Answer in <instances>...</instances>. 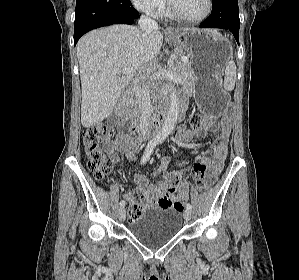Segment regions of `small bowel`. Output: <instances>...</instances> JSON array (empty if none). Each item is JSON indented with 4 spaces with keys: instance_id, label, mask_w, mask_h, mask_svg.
I'll use <instances>...</instances> for the list:
<instances>
[{
    "instance_id": "c3829d8e",
    "label": "small bowel",
    "mask_w": 299,
    "mask_h": 280,
    "mask_svg": "<svg viewBox=\"0 0 299 280\" xmlns=\"http://www.w3.org/2000/svg\"><path fill=\"white\" fill-rule=\"evenodd\" d=\"M219 134L211 147L210 155L204 157L208 166V178L213 182L223 168V164L228 152V141L230 137L231 124L224 121L219 124L217 121L207 120L199 127H188L181 123L178 128V144L183 148L189 147V142L195 137H204L208 132ZM107 154L116 159V151L122 152L130 158H135L133 142L131 138L120 133L116 140L106 146ZM167 160H162L161 168H164ZM136 192L140 196V202L131 193H125L124 198L130 205L141 203L143 209L147 208H171L176 201H184L188 197L189 182L183 179L177 171L169 172L162 181L151 183L144 174H135Z\"/></svg>"
}]
</instances>
